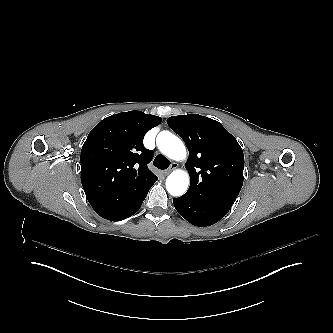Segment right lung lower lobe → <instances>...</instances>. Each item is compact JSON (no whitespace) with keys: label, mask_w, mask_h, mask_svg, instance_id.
<instances>
[{"label":"right lung lower lobe","mask_w":333,"mask_h":333,"mask_svg":"<svg viewBox=\"0 0 333 333\" xmlns=\"http://www.w3.org/2000/svg\"><path fill=\"white\" fill-rule=\"evenodd\" d=\"M158 178L152 173L112 177L100 166L81 171L86 197L95 212L108 220H123L136 213Z\"/></svg>","instance_id":"98d812e1"}]
</instances>
